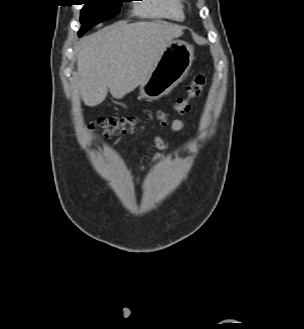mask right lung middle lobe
I'll return each instance as SVG.
<instances>
[{"label":"right lung middle lobe","mask_w":304,"mask_h":329,"mask_svg":"<svg viewBox=\"0 0 304 329\" xmlns=\"http://www.w3.org/2000/svg\"><path fill=\"white\" fill-rule=\"evenodd\" d=\"M85 6L81 10V24L79 36L102 21L114 17L120 9L121 2L127 0H83Z\"/></svg>","instance_id":"right-lung-middle-lobe-1"}]
</instances>
